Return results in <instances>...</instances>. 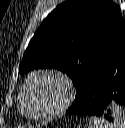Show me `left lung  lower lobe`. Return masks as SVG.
<instances>
[{"mask_svg":"<svg viewBox=\"0 0 125 128\" xmlns=\"http://www.w3.org/2000/svg\"><path fill=\"white\" fill-rule=\"evenodd\" d=\"M72 115L101 116L114 124L125 119V30L90 72Z\"/></svg>","mask_w":125,"mask_h":128,"instance_id":"obj_1","label":"left lung lower lobe"}]
</instances>
